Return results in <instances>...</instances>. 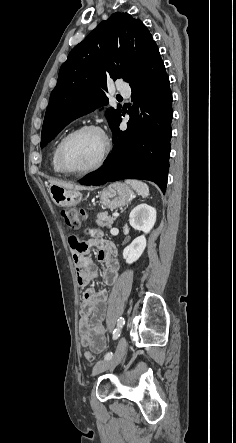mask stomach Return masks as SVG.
Returning <instances> with one entry per match:
<instances>
[{
	"instance_id": "1",
	"label": "stomach",
	"mask_w": 236,
	"mask_h": 443,
	"mask_svg": "<svg viewBox=\"0 0 236 443\" xmlns=\"http://www.w3.org/2000/svg\"><path fill=\"white\" fill-rule=\"evenodd\" d=\"M49 193L57 206L71 207L82 201V194L76 189H68L58 185H50ZM134 198L131 187L125 183L116 182L101 191L100 199L104 207L116 209L127 205Z\"/></svg>"
}]
</instances>
